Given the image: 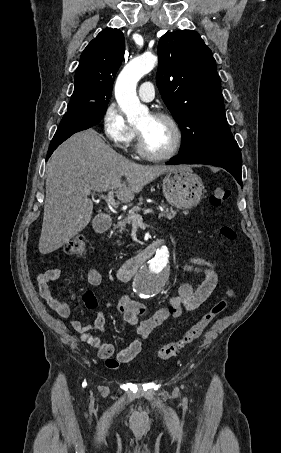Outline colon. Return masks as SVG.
<instances>
[{"mask_svg": "<svg viewBox=\"0 0 281 453\" xmlns=\"http://www.w3.org/2000/svg\"><path fill=\"white\" fill-rule=\"evenodd\" d=\"M229 193L230 189L227 186L215 187L210 195L211 204L215 206L223 205ZM218 233L223 239L229 241L234 240L236 237L235 231L230 226L223 224L218 226ZM62 250L68 257H83L88 252V245L83 238H74L65 243ZM227 307L228 301L226 299H220L208 307L186 333L158 349V360L162 363L168 362L175 356L177 350L185 348L198 340L216 317L224 312Z\"/></svg>", "mask_w": 281, "mask_h": 453, "instance_id": "5ec220e1", "label": "colon"}]
</instances>
